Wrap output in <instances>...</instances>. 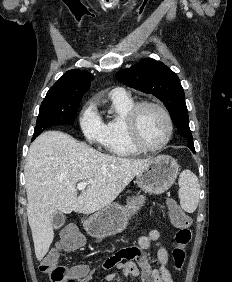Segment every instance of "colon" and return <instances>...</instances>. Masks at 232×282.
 Masks as SVG:
<instances>
[{
    "instance_id": "1",
    "label": "colon",
    "mask_w": 232,
    "mask_h": 282,
    "mask_svg": "<svg viewBox=\"0 0 232 282\" xmlns=\"http://www.w3.org/2000/svg\"><path fill=\"white\" fill-rule=\"evenodd\" d=\"M167 207L171 222L177 230L175 234L176 245L172 251L173 263L174 267L180 270L185 262L186 247L192 240L191 221L175 200H168ZM60 245L66 251H75L83 245V239L73 229H65L61 234ZM40 270L48 274L52 282H82L86 273V267L83 265L72 268L59 265L55 252L44 258Z\"/></svg>"
}]
</instances>
